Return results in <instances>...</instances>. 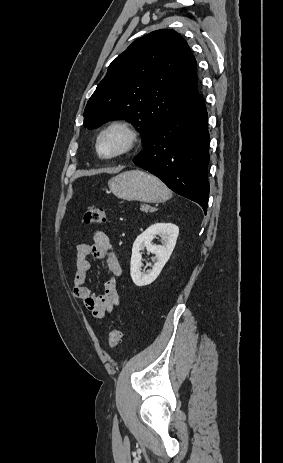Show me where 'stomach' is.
<instances>
[{"instance_id": "0dacf381", "label": "stomach", "mask_w": 283, "mask_h": 463, "mask_svg": "<svg viewBox=\"0 0 283 463\" xmlns=\"http://www.w3.org/2000/svg\"><path fill=\"white\" fill-rule=\"evenodd\" d=\"M110 191L119 199L157 203L169 197V190L157 177L140 170L123 172L108 182Z\"/></svg>"}]
</instances>
